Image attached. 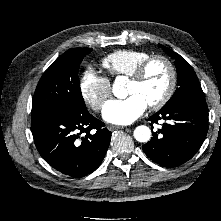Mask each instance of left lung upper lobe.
<instances>
[{
    "label": "left lung upper lobe",
    "mask_w": 221,
    "mask_h": 221,
    "mask_svg": "<svg viewBox=\"0 0 221 221\" xmlns=\"http://www.w3.org/2000/svg\"><path fill=\"white\" fill-rule=\"evenodd\" d=\"M160 47L169 56L176 59L175 66L178 73V88L162 109H170L187 102H206L197 75L190 64L183 57L169 48L163 45H160Z\"/></svg>",
    "instance_id": "left-lung-upper-lobe-1"
}]
</instances>
